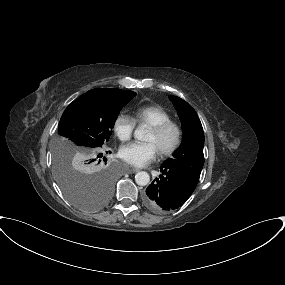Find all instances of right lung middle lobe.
Here are the masks:
<instances>
[{
    "mask_svg": "<svg viewBox=\"0 0 285 285\" xmlns=\"http://www.w3.org/2000/svg\"><path fill=\"white\" fill-rule=\"evenodd\" d=\"M134 96L133 91L92 89L74 100L60 119L53 150L55 178L64 195L83 210L97 211L111 198V167L91 172L88 166L98 161L120 110Z\"/></svg>",
    "mask_w": 285,
    "mask_h": 285,
    "instance_id": "dd1d6c3e",
    "label": "right lung middle lobe"
}]
</instances>
